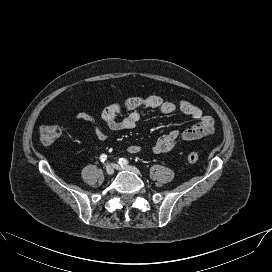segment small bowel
I'll use <instances>...</instances> for the list:
<instances>
[{"mask_svg": "<svg viewBox=\"0 0 272 272\" xmlns=\"http://www.w3.org/2000/svg\"><path fill=\"white\" fill-rule=\"evenodd\" d=\"M157 109L164 114H172L176 111L196 120V124L185 129H174L167 134L160 136L151 146L150 150L154 153H166L173 150L180 142H189L204 138L213 134L214 120L205 115L203 111L188 101L174 103L159 96H136L127 99L123 103H115L107 106L101 112V122L91 114L79 111L75 117L78 120L94 126L96 137L104 141L113 132L131 130L136 127L141 119L142 109ZM126 114L124 118L118 120V116ZM129 153L135 154L143 151V147L131 144L127 147Z\"/></svg>", "mask_w": 272, "mask_h": 272, "instance_id": "obj_1", "label": "small bowel"}]
</instances>
